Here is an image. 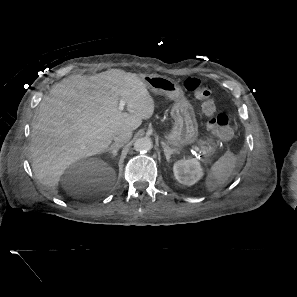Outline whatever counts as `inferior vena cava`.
<instances>
[{
  "label": "inferior vena cava",
  "mask_w": 297,
  "mask_h": 297,
  "mask_svg": "<svg viewBox=\"0 0 297 297\" xmlns=\"http://www.w3.org/2000/svg\"><path fill=\"white\" fill-rule=\"evenodd\" d=\"M132 137V131L129 129H120L116 131V133L113 136V140L115 141V144L118 146H123L125 143H127Z\"/></svg>",
  "instance_id": "1"
}]
</instances>
